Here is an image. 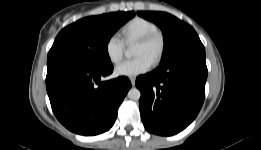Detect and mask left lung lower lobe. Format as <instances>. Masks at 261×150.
I'll return each mask as SVG.
<instances>
[{
	"mask_svg": "<svg viewBox=\"0 0 261 150\" xmlns=\"http://www.w3.org/2000/svg\"><path fill=\"white\" fill-rule=\"evenodd\" d=\"M205 48L199 38L180 45L158 68L136 79L142 122L147 131L171 136L198 115L207 79Z\"/></svg>",
	"mask_w": 261,
	"mask_h": 150,
	"instance_id": "0a47b994",
	"label": "left lung lower lobe"
}]
</instances>
